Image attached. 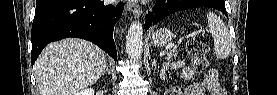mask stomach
Segmentation results:
<instances>
[{
  "label": "stomach",
  "mask_w": 277,
  "mask_h": 95,
  "mask_svg": "<svg viewBox=\"0 0 277 95\" xmlns=\"http://www.w3.org/2000/svg\"><path fill=\"white\" fill-rule=\"evenodd\" d=\"M173 38V33L168 28H160L151 34V43L154 46L162 47L168 44Z\"/></svg>",
  "instance_id": "obj_1"
}]
</instances>
